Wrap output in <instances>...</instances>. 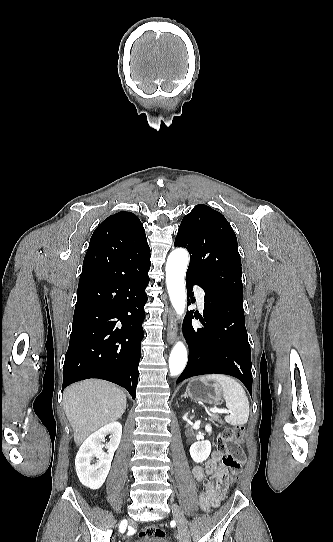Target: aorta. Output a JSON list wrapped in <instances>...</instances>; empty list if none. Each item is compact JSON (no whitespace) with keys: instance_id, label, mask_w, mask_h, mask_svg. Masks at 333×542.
Listing matches in <instances>:
<instances>
[{"instance_id":"obj_1","label":"aorta","mask_w":333,"mask_h":542,"mask_svg":"<svg viewBox=\"0 0 333 542\" xmlns=\"http://www.w3.org/2000/svg\"><path fill=\"white\" fill-rule=\"evenodd\" d=\"M189 264V254L184 248H177L169 254L166 264V284L170 302L178 316L186 308L185 274ZM187 350L183 342H176L169 356L170 376H180L187 364Z\"/></svg>"}]
</instances>
